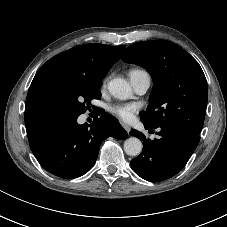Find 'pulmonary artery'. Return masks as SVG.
Masks as SVG:
<instances>
[{
	"label": "pulmonary artery",
	"instance_id": "e3ab8cb5",
	"mask_svg": "<svg viewBox=\"0 0 227 227\" xmlns=\"http://www.w3.org/2000/svg\"><path fill=\"white\" fill-rule=\"evenodd\" d=\"M130 80L134 90L138 94H144L150 87L151 78L147 72L130 75Z\"/></svg>",
	"mask_w": 227,
	"mask_h": 227
}]
</instances>
